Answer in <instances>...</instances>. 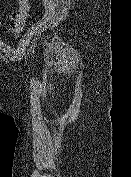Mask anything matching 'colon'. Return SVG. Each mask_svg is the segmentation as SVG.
<instances>
[{"instance_id": "obj_1", "label": "colon", "mask_w": 131, "mask_h": 177, "mask_svg": "<svg viewBox=\"0 0 131 177\" xmlns=\"http://www.w3.org/2000/svg\"><path fill=\"white\" fill-rule=\"evenodd\" d=\"M18 8L10 15V32L17 36L25 28L30 17L29 0H17Z\"/></svg>"}]
</instances>
